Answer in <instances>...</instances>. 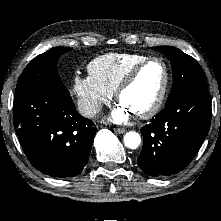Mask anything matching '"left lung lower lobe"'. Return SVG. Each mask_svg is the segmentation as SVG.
Listing matches in <instances>:
<instances>
[{
	"label": "left lung lower lobe",
	"instance_id": "1",
	"mask_svg": "<svg viewBox=\"0 0 221 221\" xmlns=\"http://www.w3.org/2000/svg\"><path fill=\"white\" fill-rule=\"evenodd\" d=\"M210 122L211 101L207 88L191 90L165 106L141 129L140 168L153 177L183 170L201 147Z\"/></svg>",
	"mask_w": 221,
	"mask_h": 221
}]
</instances>
